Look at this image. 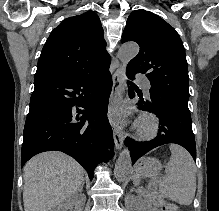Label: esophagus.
Here are the masks:
<instances>
[{"instance_id":"obj_1","label":"esophagus","mask_w":219,"mask_h":211,"mask_svg":"<svg viewBox=\"0 0 219 211\" xmlns=\"http://www.w3.org/2000/svg\"><path fill=\"white\" fill-rule=\"evenodd\" d=\"M123 76H124V65H121L113 74V85L109 99L110 124L113 130L114 143L118 150L122 148L124 141V132H123V125L121 121L114 116V111L116 110L119 104L121 90L123 86Z\"/></svg>"}]
</instances>
